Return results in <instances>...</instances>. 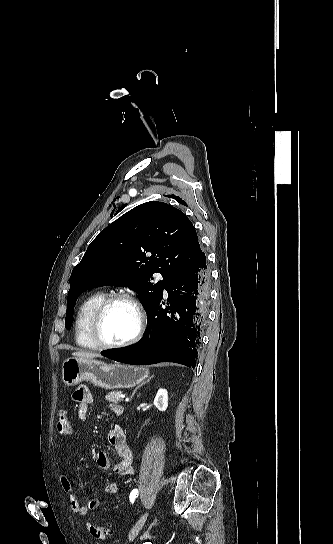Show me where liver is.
Instances as JSON below:
<instances>
[{
    "instance_id": "1",
    "label": "liver",
    "mask_w": 333,
    "mask_h": 544,
    "mask_svg": "<svg viewBox=\"0 0 333 544\" xmlns=\"http://www.w3.org/2000/svg\"><path fill=\"white\" fill-rule=\"evenodd\" d=\"M72 355L75 358H82V359H93V358L101 357L97 353L86 352V351H77V352L72 353Z\"/></svg>"
}]
</instances>
